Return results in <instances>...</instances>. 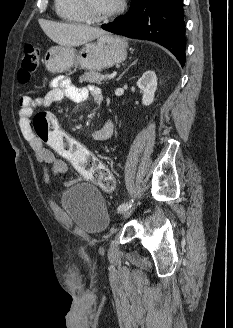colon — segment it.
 Instances as JSON below:
<instances>
[{
  "label": "colon",
  "mask_w": 233,
  "mask_h": 328,
  "mask_svg": "<svg viewBox=\"0 0 233 328\" xmlns=\"http://www.w3.org/2000/svg\"><path fill=\"white\" fill-rule=\"evenodd\" d=\"M39 49L28 44L24 47L18 81L26 84L37 70ZM33 128L37 138L47 144L53 151L69 161L84 177L93 181L103 191L115 190V179L110 170L87 148L64 132L55 116L41 111L34 116Z\"/></svg>",
  "instance_id": "obj_1"
}]
</instances>
